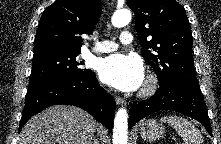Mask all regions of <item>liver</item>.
Returning <instances> with one entry per match:
<instances>
[{
    "label": "liver",
    "instance_id": "6515ba94",
    "mask_svg": "<svg viewBox=\"0 0 221 144\" xmlns=\"http://www.w3.org/2000/svg\"><path fill=\"white\" fill-rule=\"evenodd\" d=\"M95 131L96 121L86 111L55 105L27 121L18 144H93Z\"/></svg>",
    "mask_w": 221,
    "mask_h": 144
}]
</instances>
